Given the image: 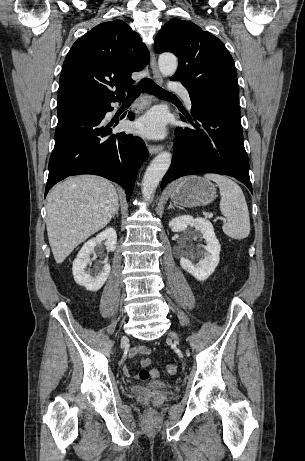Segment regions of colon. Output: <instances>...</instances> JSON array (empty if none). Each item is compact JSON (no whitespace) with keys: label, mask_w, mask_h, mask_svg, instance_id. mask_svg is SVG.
<instances>
[{"label":"colon","mask_w":305,"mask_h":461,"mask_svg":"<svg viewBox=\"0 0 305 461\" xmlns=\"http://www.w3.org/2000/svg\"><path fill=\"white\" fill-rule=\"evenodd\" d=\"M166 374L173 376L177 374V366L175 364H168L165 367ZM138 377L141 381H147L151 377V373L148 370H141L138 374ZM149 415L153 414V410L148 411Z\"/></svg>","instance_id":"5ec220e1"}]
</instances>
